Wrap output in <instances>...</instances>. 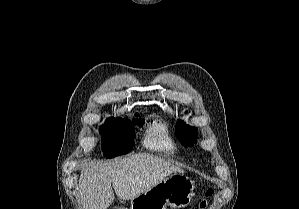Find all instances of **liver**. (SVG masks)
Listing matches in <instances>:
<instances>
[{"label":"liver","mask_w":299,"mask_h":209,"mask_svg":"<svg viewBox=\"0 0 299 209\" xmlns=\"http://www.w3.org/2000/svg\"><path fill=\"white\" fill-rule=\"evenodd\" d=\"M172 173L183 170L151 154L87 166L79 179L82 209H107L115 198L113 188L118 198L131 200Z\"/></svg>","instance_id":"obj_1"}]
</instances>
